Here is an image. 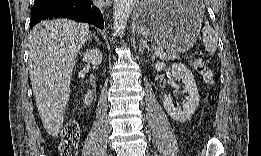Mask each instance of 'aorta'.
Listing matches in <instances>:
<instances>
[{
    "label": "aorta",
    "instance_id": "1",
    "mask_svg": "<svg viewBox=\"0 0 261 156\" xmlns=\"http://www.w3.org/2000/svg\"><path fill=\"white\" fill-rule=\"evenodd\" d=\"M133 0H115L114 3V29L117 33L124 31L133 9Z\"/></svg>",
    "mask_w": 261,
    "mask_h": 156
}]
</instances>
